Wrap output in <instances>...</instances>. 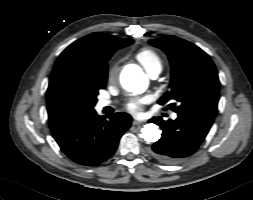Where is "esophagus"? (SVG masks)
I'll list each match as a JSON object with an SVG mask.
<instances>
[{
    "instance_id": "esophagus-1",
    "label": "esophagus",
    "mask_w": 253,
    "mask_h": 200,
    "mask_svg": "<svg viewBox=\"0 0 253 200\" xmlns=\"http://www.w3.org/2000/svg\"><path fill=\"white\" fill-rule=\"evenodd\" d=\"M132 124H133L134 126H138V125H141V124H142V121L133 120Z\"/></svg>"
}]
</instances>
